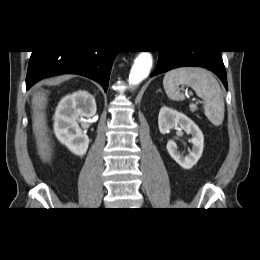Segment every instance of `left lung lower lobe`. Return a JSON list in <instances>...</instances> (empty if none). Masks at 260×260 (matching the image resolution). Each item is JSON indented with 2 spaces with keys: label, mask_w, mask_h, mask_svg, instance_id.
Here are the masks:
<instances>
[{
  "label": "left lung lower lobe",
  "mask_w": 260,
  "mask_h": 260,
  "mask_svg": "<svg viewBox=\"0 0 260 260\" xmlns=\"http://www.w3.org/2000/svg\"><path fill=\"white\" fill-rule=\"evenodd\" d=\"M184 66L203 67L212 71L228 89L226 71L219 50L160 51L156 70L151 77Z\"/></svg>",
  "instance_id": "1"
}]
</instances>
